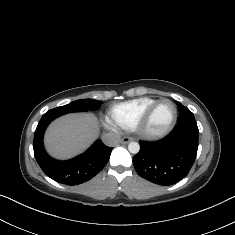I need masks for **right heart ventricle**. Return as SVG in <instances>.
Returning <instances> with one entry per match:
<instances>
[{"instance_id":"1","label":"right heart ventricle","mask_w":235,"mask_h":235,"mask_svg":"<svg viewBox=\"0 0 235 235\" xmlns=\"http://www.w3.org/2000/svg\"><path fill=\"white\" fill-rule=\"evenodd\" d=\"M157 98L145 96L131 99L111 106L109 113L121 128L132 131Z\"/></svg>"}]
</instances>
